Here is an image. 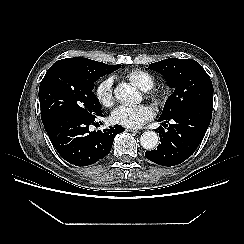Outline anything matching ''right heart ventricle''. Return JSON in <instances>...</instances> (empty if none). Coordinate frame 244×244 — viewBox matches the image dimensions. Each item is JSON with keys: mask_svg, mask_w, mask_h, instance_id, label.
I'll return each mask as SVG.
<instances>
[{"mask_svg": "<svg viewBox=\"0 0 244 244\" xmlns=\"http://www.w3.org/2000/svg\"><path fill=\"white\" fill-rule=\"evenodd\" d=\"M126 78L133 85L144 91L151 89L155 84L154 76L144 70L135 69L129 71L126 74Z\"/></svg>", "mask_w": 244, "mask_h": 244, "instance_id": "1", "label": "right heart ventricle"}]
</instances>
